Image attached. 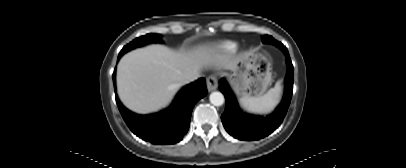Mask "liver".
Listing matches in <instances>:
<instances>
[{
  "instance_id": "6515ba94",
  "label": "liver",
  "mask_w": 406,
  "mask_h": 168,
  "mask_svg": "<svg viewBox=\"0 0 406 168\" xmlns=\"http://www.w3.org/2000/svg\"><path fill=\"white\" fill-rule=\"evenodd\" d=\"M239 57L225 59L207 47L175 51L150 45L125 54L117 66V90L130 110L147 114L165 108L183 85L181 76L212 64L234 69Z\"/></svg>"
}]
</instances>
